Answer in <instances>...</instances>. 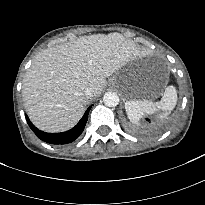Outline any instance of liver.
<instances>
[{"label": "liver", "mask_w": 205, "mask_h": 205, "mask_svg": "<svg viewBox=\"0 0 205 205\" xmlns=\"http://www.w3.org/2000/svg\"><path fill=\"white\" fill-rule=\"evenodd\" d=\"M142 55L132 40L119 33L82 36L43 50L23 79L29 118L48 132L72 128L90 97L101 94L106 78ZM87 87L93 90L91 96L85 94Z\"/></svg>", "instance_id": "liver-1"}]
</instances>
